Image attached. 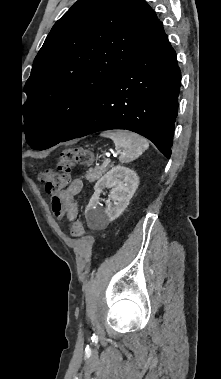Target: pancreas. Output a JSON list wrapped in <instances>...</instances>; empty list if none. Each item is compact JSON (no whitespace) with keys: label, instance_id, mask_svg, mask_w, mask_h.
<instances>
[{"label":"pancreas","instance_id":"cf45deb5","mask_svg":"<svg viewBox=\"0 0 221 379\" xmlns=\"http://www.w3.org/2000/svg\"><path fill=\"white\" fill-rule=\"evenodd\" d=\"M106 171H107V166L103 164L102 166L96 167L95 169H90L86 173L85 178L89 182H94L98 180L102 176V174Z\"/></svg>","mask_w":221,"mask_h":379}]
</instances>
